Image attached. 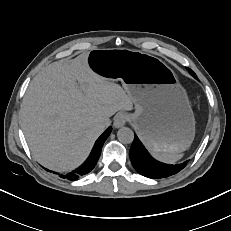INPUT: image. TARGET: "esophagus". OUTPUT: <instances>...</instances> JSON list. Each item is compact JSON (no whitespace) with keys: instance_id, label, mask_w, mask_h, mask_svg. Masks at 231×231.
<instances>
[{"instance_id":"obj_1","label":"esophagus","mask_w":231,"mask_h":231,"mask_svg":"<svg viewBox=\"0 0 231 231\" xmlns=\"http://www.w3.org/2000/svg\"><path fill=\"white\" fill-rule=\"evenodd\" d=\"M128 119L129 118L127 114L119 113L115 116L113 125L115 128L122 127L127 123Z\"/></svg>"}]
</instances>
